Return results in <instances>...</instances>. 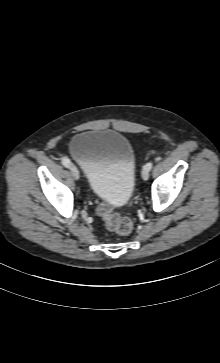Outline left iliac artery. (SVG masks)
I'll return each instance as SVG.
<instances>
[{
  "mask_svg": "<svg viewBox=\"0 0 220 363\" xmlns=\"http://www.w3.org/2000/svg\"><path fill=\"white\" fill-rule=\"evenodd\" d=\"M152 166H153V163L152 162H148L145 166H144V168H146L147 170H151V168H152Z\"/></svg>",
  "mask_w": 220,
  "mask_h": 363,
  "instance_id": "1",
  "label": "left iliac artery"
}]
</instances>
